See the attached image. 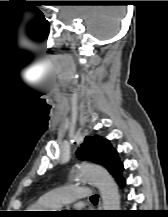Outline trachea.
Here are the masks:
<instances>
[{"mask_svg":"<svg viewBox=\"0 0 168 217\" xmlns=\"http://www.w3.org/2000/svg\"><path fill=\"white\" fill-rule=\"evenodd\" d=\"M98 198H99V196L98 195H93V196H91V201H97L98 200Z\"/></svg>","mask_w":168,"mask_h":217,"instance_id":"3493384b","label":"trachea"}]
</instances>
